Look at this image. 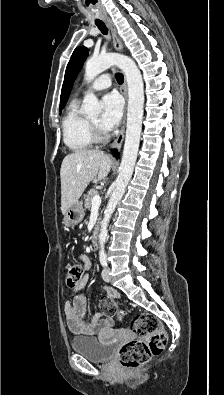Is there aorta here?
Returning <instances> with one entry per match:
<instances>
[{
  "label": "aorta",
  "mask_w": 224,
  "mask_h": 395,
  "mask_svg": "<svg viewBox=\"0 0 224 395\" xmlns=\"http://www.w3.org/2000/svg\"><path fill=\"white\" fill-rule=\"evenodd\" d=\"M117 66L125 75L128 85L127 126L124 149L119 167V175L115 182V190L111 195L104 211L99 233L100 251H104L108 234L109 220L132 176L140 144L144 107V84L140 70L136 63L128 56L109 53L92 57L85 65V80L91 82L96 76L110 68ZM102 105L93 93H88L83 100L82 110L90 116H98Z\"/></svg>",
  "instance_id": "1"
}]
</instances>
